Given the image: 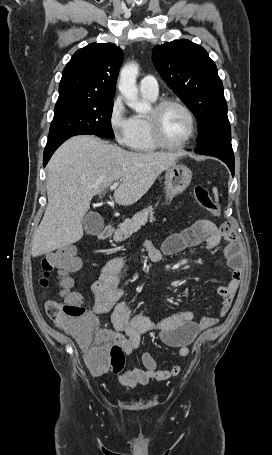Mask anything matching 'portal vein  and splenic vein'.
<instances>
[{
    "label": "portal vein and splenic vein",
    "instance_id": "1",
    "mask_svg": "<svg viewBox=\"0 0 272 455\" xmlns=\"http://www.w3.org/2000/svg\"><path fill=\"white\" fill-rule=\"evenodd\" d=\"M118 185H119V182L113 183V184L110 186V190L116 189V188L118 187Z\"/></svg>",
    "mask_w": 272,
    "mask_h": 455
}]
</instances>
